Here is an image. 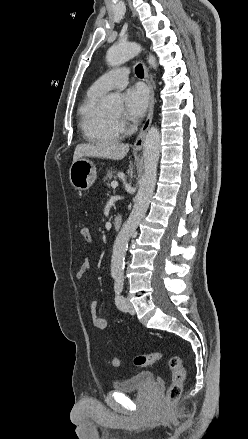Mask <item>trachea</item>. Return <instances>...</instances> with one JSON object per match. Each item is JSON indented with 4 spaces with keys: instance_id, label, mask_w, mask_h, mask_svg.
I'll return each mask as SVG.
<instances>
[{
    "instance_id": "3493384b",
    "label": "trachea",
    "mask_w": 248,
    "mask_h": 439,
    "mask_svg": "<svg viewBox=\"0 0 248 439\" xmlns=\"http://www.w3.org/2000/svg\"><path fill=\"white\" fill-rule=\"evenodd\" d=\"M135 72H136V75H137L138 77H143V76H144V70H143V67H142L141 64H139V65L136 66V68H135Z\"/></svg>"
}]
</instances>
